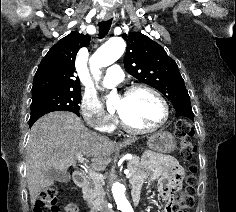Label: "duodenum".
Wrapping results in <instances>:
<instances>
[{
  "label": "duodenum",
  "mask_w": 236,
  "mask_h": 212,
  "mask_svg": "<svg viewBox=\"0 0 236 212\" xmlns=\"http://www.w3.org/2000/svg\"><path fill=\"white\" fill-rule=\"evenodd\" d=\"M73 180L75 184L82 189L83 191H86L88 188V181L87 177L82 169H78L74 171L73 173ZM132 198L135 203H137L140 199V191L133 190L132 193ZM99 212H106L105 209H100L98 210ZM98 211H93V212H98Z\"/></svg>",
  "instance_id": "1"
}]
</instances>
